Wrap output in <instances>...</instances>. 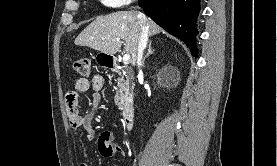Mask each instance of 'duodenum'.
<instances>
[{
    "mask_svg": "<svg viewBox=\"0 0 277 166\" xmlns=\"http://www.w3.org/2000/svg\"><path fill=\"white\" fill-rule=\"evenodd\" d=\"M107 66L111 70H118L120 68L119 63L111 59L107 62ZM134 107L130 102H126L122 106V117H123V124L127 129H131L133 127L134 122Z\"/></svg>",
    "mask_w": 277,
    "mask_h": 166,
    "instance_id": "410a0bca",
    "label": "duodenum"
}]
</instances>
